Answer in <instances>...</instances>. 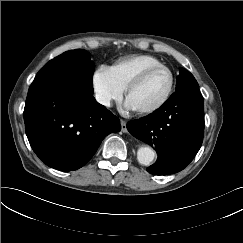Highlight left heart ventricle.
<instances>
[{
	"label": "left heart ventricle",
	"instance_id": "1",
	"mask_svg": "<svg viewBox=\"0 0 243 243\" xmlns=\"http://www.w3.org/2000/svg\"><path fill=\"white\" fill-rule=\"evenodd\" d=\"M169 82L170 77L166 70H154L128 95L127 101L134 109L149 107L164 96Z\"/></svg>",
	"mask_w": 243,
	"mask_h": 243
}]
</instances>
